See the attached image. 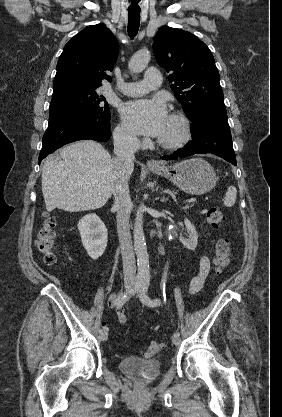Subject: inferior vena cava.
<instances>
[{
    "label": "inferior vena cava",
    "mask_w": 282,
    "mask_h": 417,
    "mask_svg": "<svg viewBox=\"0 0 282 417\" xmlns=\"http://www.w3.org/2000/svg\"><path fill=\"white\" fill-rule=\"evenodd\" d=\"M114 176L113 194L114 209L117 211V233L120 243L124 281H135L136 261L130 233V213L132 202L129 196L128 180L134 168V152L138 148V142L132 134L124 130H114Z\"/></svg>",
    "instance_id": "602c4592"
}]
</instances>
